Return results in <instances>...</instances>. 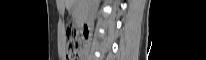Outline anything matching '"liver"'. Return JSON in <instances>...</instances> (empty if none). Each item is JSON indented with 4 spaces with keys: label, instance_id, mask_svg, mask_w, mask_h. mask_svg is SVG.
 <instances>
[{
    "label": "liver",
    "instance_id": "1",
    "mask_svg": "<svg viewBox=\"0 0 206 60\" xmlns=\"http://www.w3.org/2000/svg\"><path fill=\"white\" fill-rule=\"evenodd\" d=\"M65 1V3L68 5V4H72V3H74L75 2V0H64Z\"/></svg>",
    "mask_w": 206,
    "mask_h": 60
}]
</instances>
